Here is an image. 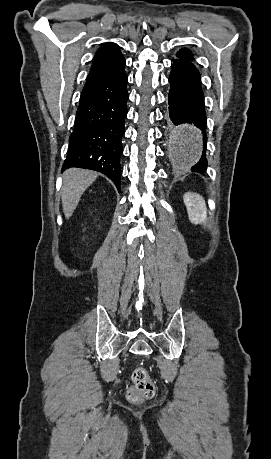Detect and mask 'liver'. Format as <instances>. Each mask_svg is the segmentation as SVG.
I'll list each match as a JSON object with an SVG mask.
<instances>
[{"label": "liver", "instance_id": "obj_1", "mask_svg": "<svg viewBox=\"0 0 271 459\" xmlns=\"http://www.w3.org/2000/svg\"><path fill=\"white\" fill-rule=\"evenodd\" d=\"M97 176V172L79 170V168H71V170L64 172L61 194L66 220L71 218L83 192L95 182Z\"/></svg>", "mask_w": 271, "mask_h": 459}]
</instances>
